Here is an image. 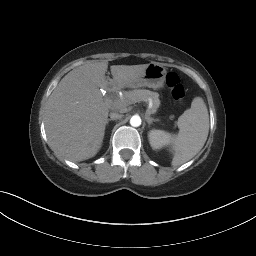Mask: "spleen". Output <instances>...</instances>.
I'll list each match as a JSON object with an SVG mask.
<instances>
[{"label":"spleen","mask_w":256,"mask_h":256,"mask_svg":"<svg viewBox=\"0 0 256 256\" xmlns=\"http://www.w3.org/2000/svg\"><path fill=\"white\" fill-rule=\"evenodd\" d=\"M179 133L172 137L173 166L192 159L204 146L209 132V114L201 97H195L191 107L178 120Z\"/></svg>","instance_id":"1"}]
</instances>
